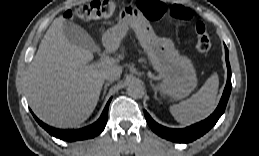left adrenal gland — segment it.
Instances as JSON below:
<instances>
[{"instance_id":"a2214340","label":"left adrenal gland","mask_w":259,"mask_h":156,"mask_svg":"<svg viewBox=\"0 0 259 156\" xmlns=\"http://www.w3.org/2000/svg\"><path fill=\"white\" fill-rule=\"evenodd\" d=\"M151 86L154 88V97L157 99V91L152 82L150 81Z\"/></svg>"}]
</instances>
